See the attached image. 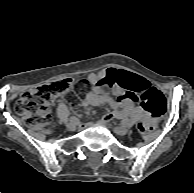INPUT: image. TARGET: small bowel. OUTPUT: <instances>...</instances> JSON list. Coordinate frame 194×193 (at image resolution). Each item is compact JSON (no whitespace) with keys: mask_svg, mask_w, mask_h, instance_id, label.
<instances>
[{"mask_svg":"<svg viewBox=\"0 0 194 193\" xmlns=\"http://www.w3.org/2000/svg\"><path fill=\"white\" fill-rule=\"evenodd\" d=\"M117 75L118 71L111 68L89 74L87 79L91 85V90L81 99V105L83 107L101 105L111 106L113 110L103 115L101 119L103 123L127 115H132L135 119L147 118V114L142 109L134 107L133 101L130 98L125 96L114 98L110 94L108 87L111 82L115 81ZM136 82L138 91H141L147 86H152L143 79H138Z\"/></svg>","mask_w":194,"mask_h":193,"instance_id":"small-bowel-1","label":"small bowel"}]
</instances>
